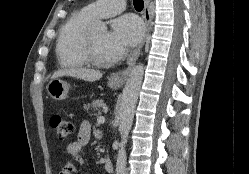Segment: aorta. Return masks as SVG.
I'll use <instances>...</instances> for the list:
<instances>
[{
    "label": "aorta",
    "instance_id": "aorta-1",
    "mask_svg": "<svg viewBox=\"0 0 249 174\" xmlns=\"http://www.w3.org/2000/svg\"><path fill=\"white\" fill-rule=\"evenodd\" d=\"M98 29H104L105 24L98 22ZM144 74L143 64H137L129 74L127 82L122 92V99L119 108V132L121 135L120 148L117 155L116 174H125L126 167V151L128 135L132 127L136 103L141 88Z\"/></svg>",
    "mask_w": 249,
    "mask_h": 174
}]
</instances>
